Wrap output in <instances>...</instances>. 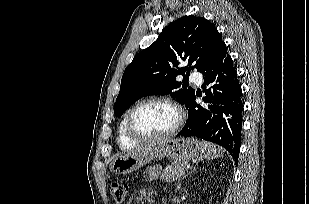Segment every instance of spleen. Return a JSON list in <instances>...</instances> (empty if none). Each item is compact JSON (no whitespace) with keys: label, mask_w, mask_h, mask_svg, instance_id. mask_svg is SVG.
<instances>
[{"label":"spleen","mask_w":309,"mask_h":204,"mask_svg":"<svg viewBox=\"0 0 309 204\" xmlns=\"http://www.w3.org/2000/svg\"><path fill=\"white\" fill-rule=\"evenodd\" d=\"M202 145V148H203V157L205 159H208V160H213V159H216V158H220V157H223L224 155V151L221 147L217 146V145H214L212 143H209V142H205L203 141L201 143Z\"/></svg>","instance_id":"1"}]
</instances>
